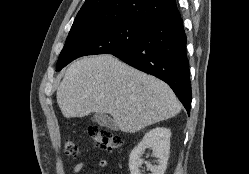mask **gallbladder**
I'll list each match as a JSON object with an SVG mask.
<instances>
[{"mask_svg":"<svg viewBox=\"0 0 249 174\" xmlns=\"http://www.w3.org/2000/svg\"><path fill=\"white\" fill-rule=\"evenodd\" d=\"M92 120L99 124L100 126H106L109 127L112 130H117V126L113 119H111L108 115L106 114H99L95 113L92 117Z\"/></svg>","mask_w":249,"mask_h":174,"instance_id":"gallbladder-1","label":"gallbladder"}]
</instances>
